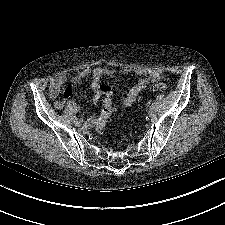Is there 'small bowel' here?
Listing matches in <instances>:
<instances>
[{"mask_svg": "<svg viewBox=\"0 0 225 225\" xmlns=\"http://www.w3.org/2000/svg\"><path fill=\"white\" fill-rule=\"evenodd\" d=\"M116 70L112 67H97L93 70H83L78 74L71 77L70 82L73 85H77L81 83L84 79L89 76L92 77V81L90 84L92 90V98L94 102H98L102 97H104L103 101L106 98L111 99L113 92L111 88L100 82L103 76H110L115 74ZM122 74H134L137 76H141V78L128 90L125 98L123 99L122 105L127 108L130 107L140 93L152 82L159 81L164 79V74L155 69H144V68H135V69H123L121 71ZM68 80V75L65 72L59 73L55 76L49 86V95L52 100H55V105L57 108H61L63 103L60 100H57L59 94L61 93V88L63 84ZM73 95L71 89H66L63 92V98L68 99ZM96 118L91 117L86 122L88 127H91L95 123Z\"/></svg>", "mask_w": 225, "mask_h": 225, "instance_id": "obj_1", "label": "small bowel"}]
</instances>
